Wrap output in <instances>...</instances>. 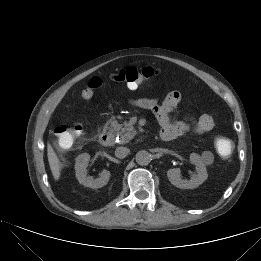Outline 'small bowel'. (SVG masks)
Segmentation results:
<instances>
[{"instance_id": "obj_1", "label": "small bowel", "mask_w": 261, "mask_h": 261, "mask_svg": "<svg viewBox=\"0 0 261 261\" xmlns=\"http://www.w3.org/2000/svg\"><path fill=\"white\" fill-rule=\"evenodd\" d=\"M137 87L138 85H127L130 90H135ZM181 99L182 96L178 91H172L163 100L158 98H137L129 100V104L154 113L161 126L159 135L163 140H174L188 132L195 134L210 132L214 127V120L206 113L201 114L191 122H174L170 119V114L179 105Z\"/></svg>"}]
</instances>
